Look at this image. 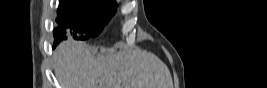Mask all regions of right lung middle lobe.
I'll list each match as a JSON object with an SVG mask.
<instances>
[{
	"mask_svg": "<svg viewBox=\"0 0 267 88\" xmlns=\"http://www.w3.org/2000/svg\"><path fill=\"white\" fill-rule=\"evenodd\" d=\"M116 9V2L105 0H61L56 19L60 30L54 34L55 43L68 37L85 40L99 35Z\"/></svg>",
	"mask_w": 267,
	"mask_h": 88,
	"instance_id": "1",
	"label": "right lung middle lobe"
}]
</instances>
